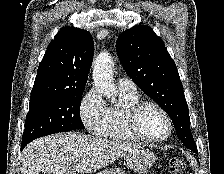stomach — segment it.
Returning <instances> with one entry per match:
<instances>
[{
    "label": "stomach",
    "mask_w": 224,
    "mask_h": 174,
    "mask_svg": "<svg viewBox=\"0 0 224 174\" xmlns=\"http://www.w3.org/2000/svg\"><path fill=\"white\" fill-rule=\"evenodd\" d=\"M156 156L155 154L145 148L139 147L134 149L133 151L129 152L126 155V163L128 168L132 169L133 171L141 174L150 169V167L155 163ZM112 171H108V169L100 172V174H111Z\"/></svg>",
    "instance_id": "0dacf381"
}]
</instances>
